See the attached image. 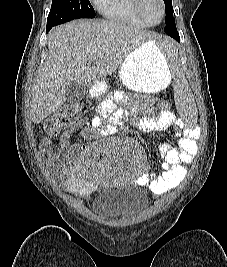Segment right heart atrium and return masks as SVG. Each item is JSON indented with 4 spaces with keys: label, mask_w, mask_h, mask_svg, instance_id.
<instances>
[{
    "label": "right heart atrium",
    "mask_w": 227,
    "mask_h": 267,
    "mask_svg": "<svg viewBox=\"0 0 227 267\" xmlns=\"http://www.w3.org/2000/svg\"><path fill=\"white\" fill-rule=\"evenodd\" d=\"M101 0H92V2L97 6Z\"/></svg>",
    "instance_id": "1"
}]
</instances>
